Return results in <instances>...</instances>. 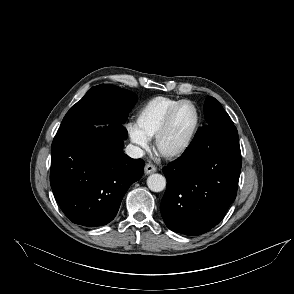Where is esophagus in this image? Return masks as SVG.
Returning <instances> with one entry per match:
<instances>
[{"label": "esophagus", "instance_id": "34e87169", "mask_svg": "<svg viewBox=\"0 0 294 294\" xmlns=\"http://www.w3.org/2000/svg\"><path fill=\"white\" fill-rule=\"evenodd\" d=\"M157 171V168L151 164V163H147L144 167V172L145 174H151Z\"/></svg>", "mask_w": 294, "mask_h": 294}]
</instances>
